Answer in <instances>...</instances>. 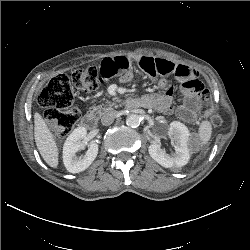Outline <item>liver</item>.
<instances>
[{
    "label": "liver",
    "instance_id": "obj_1",
    "mask_svg": "<svg viewBox=\"0 0 250 250\" xmlns=\"http://www.w3.org/2000/svg\"><path fill=\"white\" fill-rule=\"evenodd\" d=\"M34 137L37 149L44 161L50 167L56 168L58 166V147L53 134L38 112L34 114Z\"/></svg>",
    "mask_w": 250,
    "mask_h": 250
}]
</instances>
